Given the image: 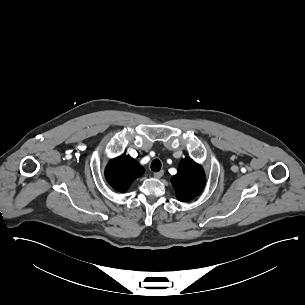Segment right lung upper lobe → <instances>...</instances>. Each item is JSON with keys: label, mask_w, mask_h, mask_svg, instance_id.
Here are the masks:
<instances>
[{"label": "right lung upper lobe", "mask_w": 305, "mask_h": 305, "mask_svg": "<svg viewBox=\"0 0 305 305\" xmlns=\"http://www.w3.org/2000/svg\"><path fill=\"white\" fill-rule=\"evenodd\" d=\"M143 173L144 168L132 157L126 155L112 159L105 170L107 181L119 192L127 191L132 182Z\"/></svg>", "instance_id": "1"}]
</instances>
